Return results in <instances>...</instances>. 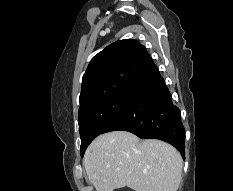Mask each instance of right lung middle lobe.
Here are the masks:
<instances>
[{
  "instance_id": "obj_1",
  "label": "right lung middle lobe",
  "mask_w": 233,
  "mask_h": 191,
  "mask_svg": "<svg viewBox=\"0 0 233 191\" xmlns=\"http://www.w3.org/2000/svg\"><path fill=\"white\" fill-rule=\"evenodd\" d=\"M128 99V91L119 92L79 109L81 156L91 141L122 111Z\"/></svg>"
}]
</instances>
